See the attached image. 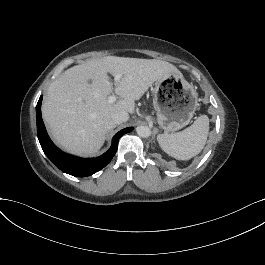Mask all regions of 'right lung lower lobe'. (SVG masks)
Returning a JSON list of instances; mask_svg holds the SVG:
<instances>
[{
  "label": "right lung lower lobe",
  "mask_w": 265,
  "mask_h": 265,
  "mask_svg": "<svg viewBox=\"0 0 265 265\" xmlns=\"http://www.w3.org/2000/svg\"><path fill=\"white\" fill-rule=\"evenodd\" d=\"M41 101L42 96L36 106V117H37V135L40 145L47 155V157L63 172L76 176L86 177L90 176L97 171L105 167L111 159L114 157L119 138L133 130L132 127H128L119 131L112 139V146L110 149L96 158H79L68 155L57 148L51 139L49 138L43 120L41 116Z\"/></svg>",
  "instance_id": "right-lung-lower-lobe-1"
}]
</instances>
